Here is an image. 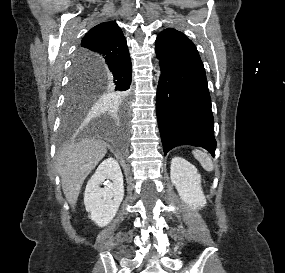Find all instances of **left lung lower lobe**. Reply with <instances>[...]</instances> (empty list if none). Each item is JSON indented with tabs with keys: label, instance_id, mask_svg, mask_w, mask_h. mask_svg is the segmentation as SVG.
<instances>
[{
	"label": "left lung lower lobe",
	"instance_id": "obj_1",
	"mask_svg": "<svg viewBox=\"0 0 285 273\" xmlns=\"http://www.w3.org/2000/svg\"><path fill=\"white\" fill-rule=\"evenodd\" d=\"M155 51L161 66L156 114L164 154L178 145H195L214 156L211 98L196 46L174 29L158 35Z\"/></svg>",
	"mask_w": 285,
	"mask_h": 273
}]
</instances>
